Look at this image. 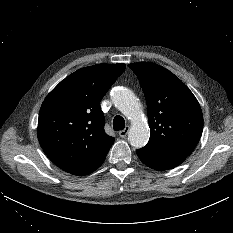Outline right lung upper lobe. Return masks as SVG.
Masks as SVG:
<instances>
[{"label": "right lung upper lobe", "instance_id": "1", "mask_svg": "<svg viewBox=\"0 0 233 233\" xmlns=\"http://www.w3.org/2000/svg\"><path fill=\"white\" fill-rule=\"evenodd\" d=\"M126 65L97 64L62 80L45 98L38 118V140L62 170L86 175L105 160L114 138L104 131L100 101Z\"/></svg>", "mask_w": 233, "mask_h": 233}]
</instances>
